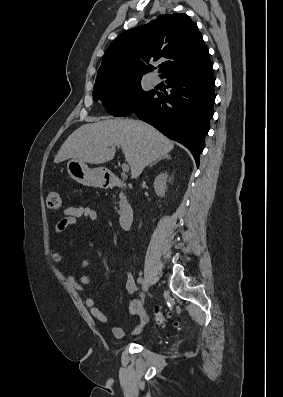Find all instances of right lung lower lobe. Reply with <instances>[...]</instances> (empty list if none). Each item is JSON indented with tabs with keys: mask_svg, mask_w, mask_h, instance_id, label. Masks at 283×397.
I'll return each mask as SVG.
<instances>
[{
	"mask_svg": "<svg viewBox=\"0 0 283 397\" xmlns=\"http://www.w3.org/2000/svg\"><path fill=\"white\" fill-rule=\"evenodd\" d=\"M208 58L201 63L181 67L165 76L172 88L169 95L155 93L132 113L168 138L187 147L199 165L204 138L214 114L215 79Z\"/></svg>",
	"mask_w": 283,
	"mask_h": 397,
	"instance_id": "obj_1",
	"label": "right lung lower lobe"
}]
</instances>
